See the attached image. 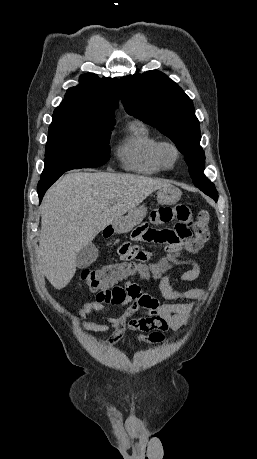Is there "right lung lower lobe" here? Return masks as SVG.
Segmentation results:
<instances>
[{
	"mask_svg": "<svg viewBox=\"0 0 257 459\" xmlns=\"http://www.w3.org/2000/svg\"><path fill=\"white\" fill-rule=\"evenodd\" d=\"M66 172L65 170L60 171L55 174L47 175V174H42L41 175V180L38 183L37 187V192L39 196V200L41 201L46 190L64 173Z\"/></svg>",
	"mask_w": 257,
	"mask_h": 459,
	"instance_id": "1",
	"label": "right lung lower lobe"
}]
</instances>
